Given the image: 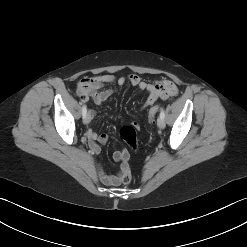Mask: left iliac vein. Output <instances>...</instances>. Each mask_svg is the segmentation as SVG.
Instances as JSON below:
<instances>
[{"label":"left iliac vein","instance_id":"1","mask_svg":"<svg viewBox=\"0 0 247 247\" xmlns=\"http://www.w3.org/2000/svg\"><path fill=\"white\" fill-rule=\"evenodd\" d=\"M157 125L160 129H164L165 128V120L164 118L159 117L157 120Z\"/></svg>","mask_w":247,"mask_h":247}]
</instances>
